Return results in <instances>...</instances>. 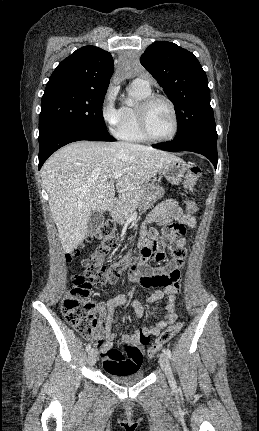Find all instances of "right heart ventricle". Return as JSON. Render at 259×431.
<instances>
[{
    "mask_svg": "<svg viewBox=\"0 0 259 431\" xmlns=\"http://www.w3.org/2000/svg\"><path fill=\"white\" fill-rule=\"evenodd\" d=\"M130 94L134 104H126L121 108V122L115 131L116 136L126 142L145 143L148 140L141 133L137 120V106L139 102L151 94V89L131 86Z\"/></svg>",
    "mask_w": 259,
    "mask_h": 431,
    "instance_id": "right-heart-ventricle-1",
    "label": "right heart ventricle"
}]
</instances>
